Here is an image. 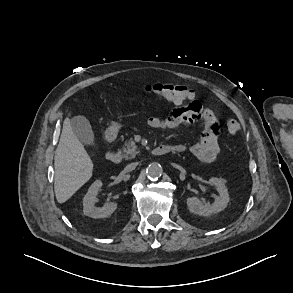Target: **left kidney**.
Returning <instances> with one entry per match:
<instances>
[{
    "mask_svg": "<svg viewBox=\"0 0 293 293\" xmlns=\"http://www.w3.org/2000/svg\"><path fill=\"white\" fill-rule=\"evenodd\" d=\"M209 184L215 186L219 196H215L214 203H202L197 197L187 198V206L190 212L200 216H210L224 210L229 203V194L225 181L220 178L211 177Z\"/></svg>",
    "mask_w": 293,
    "mask_h": 293,
    "instance_id": "1",
    "label": "left kidney"
}]
</instances>
